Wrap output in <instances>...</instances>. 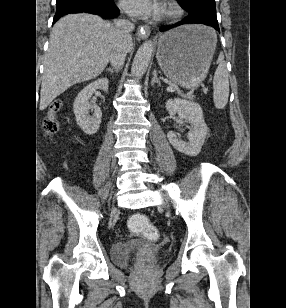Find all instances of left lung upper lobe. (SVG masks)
<instances>
[{"instance_id":"1","label":"left lung upper lobe","mask_w":286,"mask_h":308,"mask_svg":"<svg viewBox=\"0 0 286 308\" xmlns=\"http://www.w3.org/2000/svg\"><path fill=\"white\" fill-rule=\"evenodd\" d=\"M178 2L183 3L184 5H191L196 2H212L215 3L214 0H178Z\"/></svg>"}]
</instances>
